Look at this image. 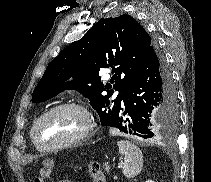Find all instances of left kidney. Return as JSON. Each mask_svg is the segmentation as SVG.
<instances>
[{
  "label": "left kidney",
  "mask_w": 211,
  "mask_h": 182,
  "mask_svg": "<svg viewBox=\"0 0 211 182\" xmlns=\"http://www.w3.org/2000/svg\"><path fill=\"white\" fill-rule=\"evenodd\" d=\"M146 182H154V181H152V180H147Z\"/></svg>",
  "instance_id": "left-kidney-1"
}]
</instances>
